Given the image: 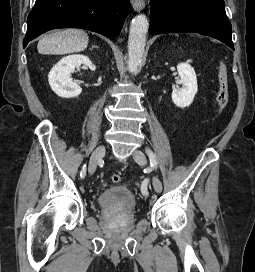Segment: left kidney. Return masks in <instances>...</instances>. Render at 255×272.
<instances>
[{"mask_svg": "<svg viewBox=\"0 0 255 272\" xmlns=\"http://www.w3.org/2000/svg\"><path fill=\"white\" fill-rule=\"evenodd\" d=\"M177 71L180 77L179 84L182 87L173 90L171 97L177 107L185 108L193 102L197 93V77L193 67L187 63H179Z\"/></svg>", "mask_w": 255, "mask_h": 272, "instance_id": "obj_1", "label": "left kidney"}]
</instances>
